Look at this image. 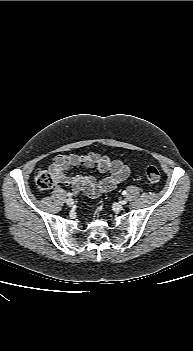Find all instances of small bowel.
<instances>
[{
  "label": "small bowel",
  "instance_id": "c3829d8e",
  "mask_svg": "<svg viewBox=\"0 0 193 351\" xmlns=\"http://www.w3.org/2000/svg\"><path fill=\"white\" fill-rule=\"evenodd\" d=\"M84 166L94 168L108 176L97 180L93 176H69L66 171L72 167ZM50 173L55 182L64 186H72L75 190L96 198L105 192L114 190L130 174V169L121 160L110 159L108 156L95 152L87 154L58 155L50 165Z\"/></svg>",
  "mask_w": 193,
  "mask_h": 351
}]
</instances>
